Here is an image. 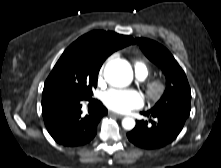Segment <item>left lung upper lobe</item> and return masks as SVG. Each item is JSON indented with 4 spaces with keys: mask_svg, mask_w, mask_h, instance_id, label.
Here are the masks:
<instances>
[{
    "mask_svg": "<svg viewBox=\"0 0 221 168\" xmlns=\"http://www.w3.org/2000/svg\"><path fill=\"white\" fill-rule=\"evenodd\" d=\"M146 57L161 68L166 77V89L150 113L178 111L190 114L191 91L187 77L172 54L161 44L136 38Z\"/></svg>",
    "mask_w": 221,
    "mask_h": 168,
    "instance_id": "left-lung-upper-lobe-1",
    "label": "left lung upper lobe"
}]
</instances>
